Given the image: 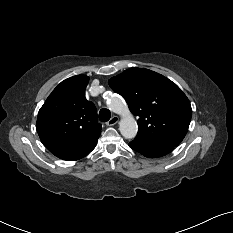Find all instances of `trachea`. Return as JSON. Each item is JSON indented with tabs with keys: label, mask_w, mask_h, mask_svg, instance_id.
I'll return each mask as SVG.
<instances>
[{
	"label": "trachea",
	"mask_w": 233,
	"mask_h": 233,
	"mask_svg": "<svg viewBox=\"0 0 233 233\" xmlns=\"http://www.w3.org/2000/svg\"><path fill=\"white\" fill-rule=\"evenodd\" d=\"M111 117V113L108 109L102 108L99 112V119L101 122H107Z\"/></svg>",
	"instance_id": "1"
}]
</instances>
